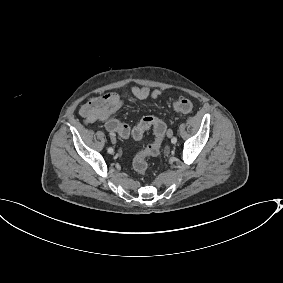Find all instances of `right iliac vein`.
Wrapping results in <instances>:
<instances>
[{
    "instance_id": "63e3f726",
    "label": "right iliac vein",
    "mask_w": 283,
    "mask_h": 283,
    "mask_svg": "<svg viewBox=\"0 0 283 283\" xmlns=\"http://www.w3.org/2000/svg\"><path fill=\"white\" fill-rule=\"evenodd\" d=\"M116 142H117V141H116V138L113 137V138H112V143L115 144Z\"/></svg>"
}]
</instances>
